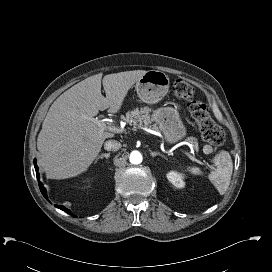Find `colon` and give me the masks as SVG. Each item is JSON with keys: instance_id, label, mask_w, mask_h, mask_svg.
Here are the masks:
<instances>
[{"instance_id": "5ec220e1", "label": "colon", "mask_w": 272, "mask_h": 272, "mask_svg": "<svg viewBox=\"0 0 272 272\" xmlns=\"http://www.w3.org/2000/svg\"><path fill=\"white\" fill-rule=\"evenodd\" d=\"M172 90L177 98L187 103L203 139L213 146H221L224 143V133L210 118L206 105L197 98L194 87L189 82L177 80Z\"/></svg>"}]
</instances>
